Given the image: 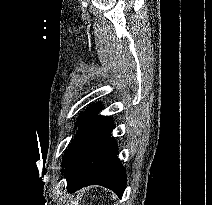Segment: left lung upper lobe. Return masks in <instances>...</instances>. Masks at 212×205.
<instances>
[{"mask_svg": "<svg viewBox=\"0 0 212 205\" xmlns=\"http://www.w3.org/2000/svg\"><path fill=\"white\" fill-rule=\"evenodd\" d=\"M91 107H92V106H90V108H91ZM87 112H88V111H85V113H83L82 116L79 118V120L77 121L76 127H77L78 124H80V122L82 121V119L84 118V116L87 114ZM67 152H68V151H66L65 154H64L63 161H64V159H65V157H66V155H67ZM62 166H63V163H62Z\"/></svg>", "mask_w": 212, "mask_h": 205, "instance_id": "obj_1", "label": "left lung upper lobe"}]
</instances>
